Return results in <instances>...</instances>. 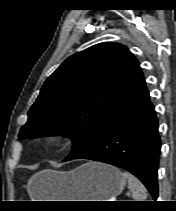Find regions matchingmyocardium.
Returning <instances> with one entry per match:
<instances>
[{
    "mask_svg": "<svg viewBox=\"0 0 176 211\" xmlns=\"http://www.w3.org/2000/svg\"><path fill=\"white\" fill-rule=\"evenodd\" d=\"M66 143L65 138L60 134H50L43 136L41 144L45 149H54L63 146Z\"/></svg>",
    "mask_w": 176,
    "mask_h": 211,
    "instance_id": "1",
    "label": "myocardium"
}]
</instances>
